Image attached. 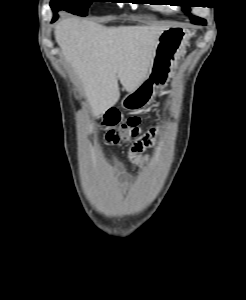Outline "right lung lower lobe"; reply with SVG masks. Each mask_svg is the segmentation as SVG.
Wrapping results in <instances>:
<instances>
[{"label": "right lung lower lobe", "mask_w": 246, "mask_h": 300, "mask_svg": "<svg viewBox=\"0 0 246 300\" xmlns=\"http://www.w3.org/2000/svg\"><path fill=\"white\" fill-rule=\"evenodd\" d=\"M57 18H58V16H55V17L53 18L52 22L56 21Z\"/></svg>", "instance_id": "obj_1"}]
</instances>
